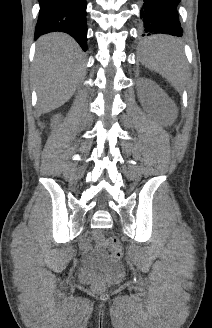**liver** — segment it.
<instances>
[{"instance_id": "6515ba94", "label": "liver", "mask_w": 212, "mask_h": 328, "mask_svg": "<svg viewBox=\"0 0 212 328\" xmlns=\"http://www.w3.org/2000/svg\"><path fill=\"white\" fill-rule=\"evenodd\" d=\"M81 58L79 46L67 34L51 33L38 40L34 80L41 113L60 107L75 93L84 75Z\"/></svg>"}]
</instances>
